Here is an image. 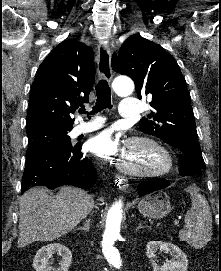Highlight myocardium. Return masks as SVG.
Listing matches in <instances>:
<instances>
[{
    "label": "myocardium",
    "mask_w": 221,
    "mask_h": 271,
    "mask_svg": "<svg viewBox=\"0 0 221 271\" xmlns=\"http://www.w3.org/2000/svg\"><path fill=\"white\" fill-rule=\"evenodd\" d=\"M154 140L160 139L148 134L131 133V140H127V145H130L129 150H138L136 153L143 155L145 165L141 166L142 170H138L135 165L131 167L133 160L131 157L114 158L113 162L117 165V170L125 172L127 175H141L143 178H148L150 175L163 176L172 172L173 170L170 169L171 158L167 156L170 150H161V145L153 142ZM134 161L137 163L139 160L136 158Z\"/></svg>",
    "instance_id": "f54148a6"
}]
</instances>
